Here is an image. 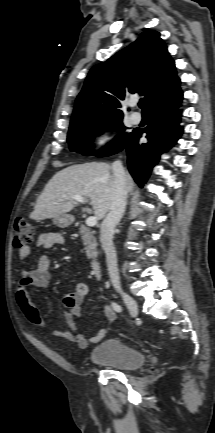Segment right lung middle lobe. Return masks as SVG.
Wrapping results in <instances>:
<instances>
[{
    "label": "right lung middle lobe",
    "instance_id": "right-lung-middle-lobe-1",
    "mask_svg": "<svg viewBox=\"0 0 215 433\" xmlns=\"http://www.w3.org/2000/svg\"><path fill=\"white\" fill-rule=\"evenodd\" d=\"M105 129H115L123 132L125 127L122 124V117L70 125L67 138L70 150L84 155L93 154L91 148L92 140L98 132H102ZM131 134H121L115 142L95 153L96 156L106 157L119 152Z\"/></svg>",
    "mask_w": 215,
    "mask_h": 433
}]
</instances>
